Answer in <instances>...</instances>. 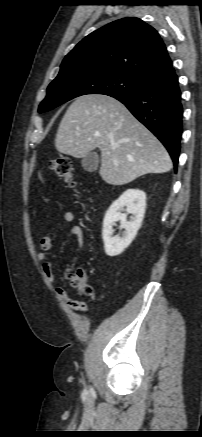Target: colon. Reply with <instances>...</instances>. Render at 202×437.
<instances>
[{"label": "colon", "mask_w": 202, "mask_h": 437, "mask_svg": "<svg viewBox=\"0 0 202 437\" xmlns=\"http://www.w3.org/2000/svg\"><path fill=\"white\" fill-rule=\"evenodd\" d=\"M48 167L54 174L68 183L69 186H75L74 169L72 161L68 157H57L51 159L48 163ZM67 278L70 281V284L81 294H91L92 289L83 270L70 267L67 271Z\"/></svg>", "instance_id": "colon-1"}]
</instances>
